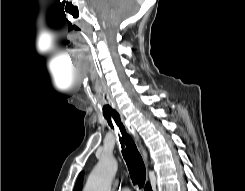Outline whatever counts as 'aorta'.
<instances>
[{"label": "aorta", "mask_w": 245, "mask_h": 191, "mask_svg": "<svg viewBox=\"0 0 245 191\" xmlns=\"http://www.w3.org/2000/svg\"><path fill=\"white\" fill-rule=\"evenodd\" d=\"M117 168L114 158L103 157L89 175L84 191H110Z\"/></svg>", "instance_id": "aorta-1"}]
</instances>
